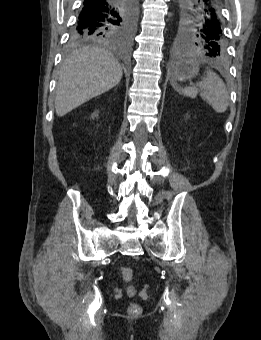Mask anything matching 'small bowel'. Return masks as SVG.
<instances>
[{
  "mask_svg": "<svg viewBox=\"0 0 261 340\" xmlns=\"http://www.w3.org/2000/svg\"><path fill=\"white\" fill-rule=\"evenodd\" d=\"M128 293H129L130 295H132V294L134 293V288H133V287H129V288H128Z\"/></svg>",
  "mask_w": 261,
  "mask_h": 340,
  "instance_id": "small-bowel-1",
  "label": "small bowel"
}]
</instances>
